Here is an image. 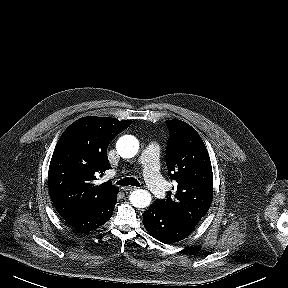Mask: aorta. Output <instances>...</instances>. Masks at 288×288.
Returning <instances> with one entry per match:
<instances>
[{
	"label": "aorta",
	"mask_w": 288,
	"mask_h": 288,
	"mask_svg": "<svg viewBox=\"0 0 288 288\" xmlns=\"http://www.w3.org/2000/svg\"><path fill=\"white\" fill-rule=\"evenodd\" d=\"M116 149L121 157L132 158L139 150V142L132 135H124L117 141ZM129 200L134 207L145 208L150 205L152 197L148 191L138 189L130 194Z\"/></svg>",
	"instance_id": "obj_1"
}]
</instances>
